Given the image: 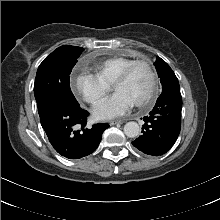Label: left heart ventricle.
Listing matches in <instances>:
<instances>
[{
  "mask_svg": "<svg viewBox=\"0 0 220 220\" xmlns=\"http://www.w3.org/2000/svg\"><path fill=\"white\" fill-rule=\"evenodd\" d=\"M116 92H123L136 103L146 97L150 89V75L146 67H137L123 83L114 86Z\"/></svg>",
  "mask_w": 220,
  "mask_h": 220,
  "instance_id": "1",
  "label": "left heart ventricle"
}]
</instances>
